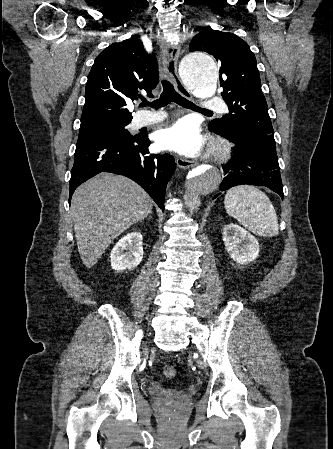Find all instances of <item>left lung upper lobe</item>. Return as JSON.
Here are the masks:
<instances>
[{
	"instance_id": "5c2ea615",
	"label": "left lung upper lobe",
	"mask_w": 333,
	"mask_h": 449,
	"mask_svg": "<svg viewBox=\"0 0 333 449\" xmlns=\"http://www.w3.org/2000/svg\"><path fill=\"white\" fill-rule=\"evenodd\" d=\"M189 50L207 52L221 65V95L230 113L211 121L210 129L230 140L249 141L276 151L256 58L248 44L233 33L206 27L193 37Z\"/></svg>"
}]
</instances>
